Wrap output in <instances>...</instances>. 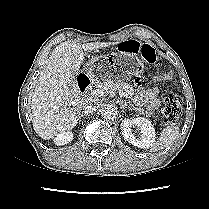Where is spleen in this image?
<instances>
[{
  "instance_id": "1",
  "label": "spleen",
  "mask_w": 209,
  "mask_h": 209,
  "mask_svg": "<svg viewBox=\"0 0 209 209\" xmlns=\"http://www.w3.org/2000/svg\"><path fill=\"white\" fill-rule=\"evenodd\" d=\"M179 136V128L175 125L167 126L163 129L157 142L152 146V151H158L166 148L173 143Z\"/></svg>"
}]
</instances>
